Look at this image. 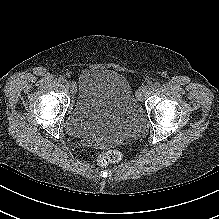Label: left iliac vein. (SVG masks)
I'll return each instance as SVG.
<instances>
[{"label":"left iliac vein","mask_w":219,"mask_h":219,"mask_svg":"<svg viewBox=\"0 0 219 219\" xmlns=\"http://www.w3.org/2000/svg\"><path fill=\"white\" fill-rule=\"evenodd\" d=\"M152 92V87L141 86L138 88L136 96L139 101H143Z\"/></svg>","instance_id":"left-iliac-vein-1"}]
</instances>
